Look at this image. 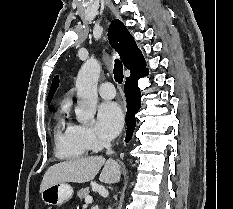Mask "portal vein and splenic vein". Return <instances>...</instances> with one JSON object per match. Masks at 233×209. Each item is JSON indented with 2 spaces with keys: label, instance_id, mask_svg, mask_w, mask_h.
I'll return each mask as SVG.
<instances>
[{
  "label": "portal vein and splenic vein",
  "instance_id": "portal-vein-and-splenic-vein-1",
  "mask_svg": "<svg viewBox=\"0 0 233 209\" xmlns=\"http://www.w3.org/2000/svg\"><path fill=\"white\" fill-rule=\"evenodd\" d=\"M93 202V198L91 197V196H87L86 198H85V205H84V207H87L89 204H91Z\"/></svg>",
  "mask_w": 233,
  "mask_h": 209
}]
</instances>
